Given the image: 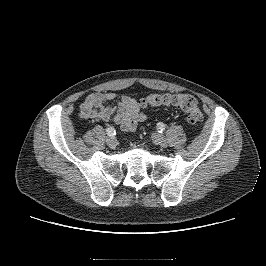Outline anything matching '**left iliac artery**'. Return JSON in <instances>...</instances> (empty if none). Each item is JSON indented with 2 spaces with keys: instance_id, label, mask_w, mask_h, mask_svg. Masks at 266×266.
Segmentation results:
<instances>
[{
  "instance_id": "44dca946",
  "label": "left iliac artery",
  "mask_w": 266,
  "mask_h": 266,
  "mask_svg": "<svg viewBox=\"0 0 266 266\" xmlns=\"http://www.w3.org/2000/svg\"><path fill=\"white\" fill-rule=\"evenodd\" d=\"M157 129L159 130L160 133H162L165 130V124H163L162 122H159L157 124Z\"/></svg>"
}]
</instances>
